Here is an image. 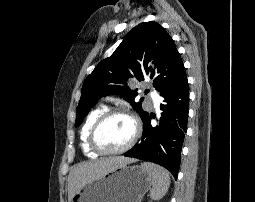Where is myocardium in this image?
Listing matches in <instances>:
<instances>
[{
	"label": "myocardium",
	"mask_w": 255,
	"mask_h": 202,
	"mask_svg": "<svg viewBox=\"0 0 255 202\" xmlns=\"http://www.w3.org/2000/svg\"><path fill=\"white\" fill-rule=\"evenodd\" d=\"M114 116H125V117L129 118L133 124L134 132H133V135H132V138L130 139V141L122 148L117 149V150H106L98 144L97 134H98L100 127L109 118L114 117ZM141 131H142V129H141L140 121L133 113H131L125 109H121V108L106 110L102 115H100L97 118V120L92 125L90 132H89V136H88V142H89V145L92 148V150L95 151L96 153H98L99 155H118V154L125 153L126 151H128L129 149H131L134 146V144L138 141V139L141 136Z\"/></svg>",
	"instance_id": "myocardium-1"
}]
</instances>
